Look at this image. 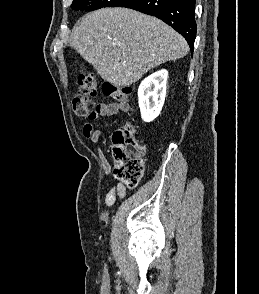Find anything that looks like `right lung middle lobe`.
<instances>
[{
  "label": "right lung middle lobe",
  "mask_w": 259,
  "mask_h": 294,
  "mask_svg": "<svg viewBox=\"0 0 259 294\" xmlns=\"http://www.w3.org/2000/svg\"><path fill=\"white\" fill-rule=\"evenodd\" d=\"M128 0H73L74 10L94 11L103 7H119Z\"/></svg>",
  "instance_id": "right-lung-middle-lobe-1"
}]
</instances>
